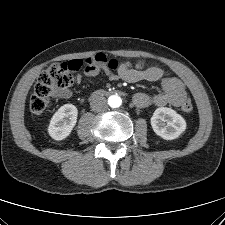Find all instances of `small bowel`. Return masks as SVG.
I'll use <instances>...</instances> for the list:
<instances>
[{
	"label": "small bowel",
	"mask_w": 225,
	"mask_h": 225,
	"mask_svg": "<svg viewBox=\"0 0 225 225\" xmlns=\"http://www.w3.org/2000/svg\"><path fill=\"white\" fill-rule=\"evenodd\" d=\"M99 60L96 64L85 71L87 76H97L99 74L105 75L109 80L115 81L122 79L129 83H135L142 80L158 81L161 79L162 90L154 95H149L144 92H139L134 95V103L139 108H146L150 105L165 106L167 104L173 106H180L187 93L183 82L177 77L163 78L164 70L157 66H152L143 69L144 63L138 61L134 66L129 62L117 63L115 68L110 67L109 61L103 54H99ZM83 75L77 76V81L81 82ZM61 98L67 99L72 96V92L68 89L59 93Z\"/></svg>",
	"instance_id": "1"
}]
</instances>
